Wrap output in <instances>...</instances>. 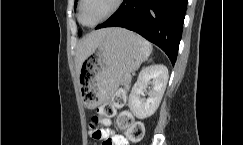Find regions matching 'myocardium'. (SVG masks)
Instances as JSON below:
<instances>
[{
    "instance_id": "f54148a6",
    "label": "myocardium",
    "mask_w": 243,
    "mask_h": 145,
    "mask_svg": "<svg viewBox=\"0 0 243 145\" xmlns=\"http://www.w3.org/2000/svg\"><path fill=\"white\" fill-rule=\"evenodd\" d=\"M84 2H85V0L79 1L78 19H79V22L83 26L89 27V28L96 27V26L100 25L101 23L105 22L106 20H108L109 18H111L114 14H116L121 9V7L124 4V0H115L114 6L103 18H101L99 21H97L96 23H94L92 25H88V24H85L82 20V9H83Z\"/></svg>"
}]
</instances>
